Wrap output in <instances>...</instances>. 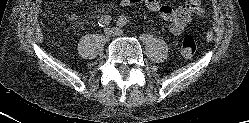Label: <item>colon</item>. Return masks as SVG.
Masks as SVG:
<instances>
[{
	"mask_svg": "<svg viewBox=\"0 0 249 123\" xmlns=\"http://www.w3.org/2000/svg\"><path fill=\"white\" fill-rule=\"evenodd\" d=\"M197 50V43L195 38L186 34L181 41V54L185 58H191L195 55Z\"/></svg>",
	"mask_w": 249,
	"mask_h": 123,
	"instance_id": "5ec220e1",
	"label": "colon"
}]
</instances>
